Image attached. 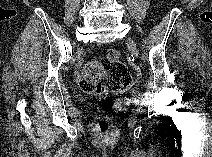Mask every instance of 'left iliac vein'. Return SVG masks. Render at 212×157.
Here are the masks:
<instances>
[{
    "instance_id": "left-iliac-vein-1",
    "label": "left iliac vein",
    "mask_w": 212,
    "mask_h": 157,
    "mask_svg": "<svg viewBox=\"0 0 212 157\" xmlns=\"http://www.w3.org/2000/svg\"><path fill=\"white\" fill-rule=\"evenodd\" d=\"M127 44H128L129 49L131 50V53L135 57H138L139 54H138V50H137L135 42L131 38H128L127 39Z\"/></svg>"
}]
</instances>
